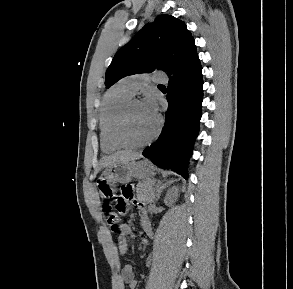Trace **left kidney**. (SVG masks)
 <instances>
[{"label": "left kidney", "instance_id": "5707ae66", "mask_svg": "<svg viewBox=\"0 0 293 289\" xmlns=\"http://www.w3.org/2000/svg\"><path fill=\"white\" fill-rule=\"evenodd\" d=\"M165 203L167 204V203H168V201L166 200V201H165ZM169 204H171V203L169 202Z\"/></svg>", "mask_w": 293, "mask_h": 289}]
</instances>
